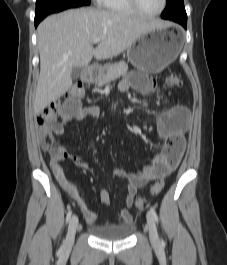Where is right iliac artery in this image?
I'll use <instances>...</instances> for the list:
<instances>
[{
    "instance_id": "right-iliac-artery-1",
    "label": "right iliac artery",
    "mask_w": 227,
    "mask_h": 265,
    "mask_svg": "<svg viewBox=\"0 0 227 265\" xmlns=\"http://www.w3.org/2000/svg\"><path fill=\"white\" fill-rule=\"evenodd\" d=\"M71 217H72V210H69L66 216V223L70 221Z\"/></svg>"
}]
</instances>
